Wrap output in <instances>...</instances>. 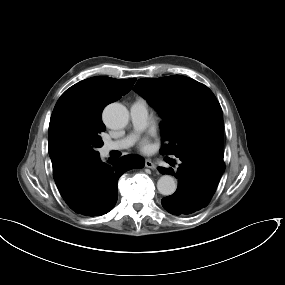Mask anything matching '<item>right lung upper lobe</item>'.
I'll return each mask as SVG.
<instances>
[{
	"label": "right lung upper lobe",
	"instance_id": "right-lung-upper-lobe-1",
	"mask_svg": "<svg viewBox=\"0 0 285 285\" xmlns=\"http://www.w3.org/2000/svg\"><path fill=\"white\" fill-rule=\"evenodd\" d=\"M136 78L118 80L110 77H92L78 82L67 89L57 101L55 108L67 104L83 106L90 111L102 114V110L111 102L117 101L127 94L134 85ZM52 160L53 177L55 182L65 178L76 167L64 164L49 150Z\"/></svg>",
	"mask_w": 285,
	"mask_h": 285
}]
</instances>
